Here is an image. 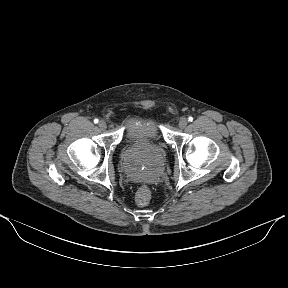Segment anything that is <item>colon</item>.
Returning <instances> with one entry per match:
<instances>
[{
	"label": "colon",
	"mask_w": 288,
	"mask_h": 288,
	"mask_svg": "<svg viewBox=\"0 0 288 288\" xmlns=\"http://www.w3.org/2000/svg\"><path fill=\"white\" fill-rule=\"evenodd\" d=\"M151 199V191L147 186H142L138 189L135 195V202L139 206H146Z\"/></svg>",
	"instance_id": "obj_1"
}]
</instances>
